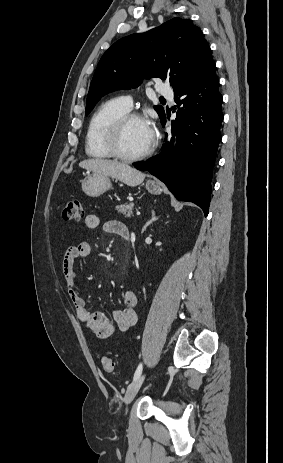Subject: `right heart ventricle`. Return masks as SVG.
Returning a JSON list of instances; mask_svg holds the SVG:
<instances>
[{
    "mask_svg": "<svg viewBox=\"0 0 283 463\" xmlns=\"http://www.w3.org/2000/svg\"><path fill=\"white\" fill-rule=\"evenodd\" d=\"M129 112L121 98L110 99L101 104L92 115L85 137L86 154L94 159H108L111 154L105 146V134L111 123Z\"/></svg>",
    "mask_w": 283,
    "mask_h": 463,
    "instance_id": "e07e8e85",
    "label": "right heart ventricle"
}]
</instances>
